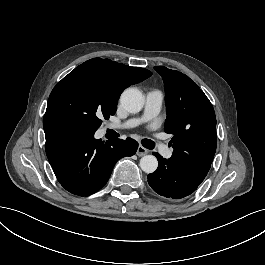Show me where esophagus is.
Instances as JSON below:
<instances>
[{
    "instance_id": "obj_1",
    "label": "esophagus",
    "mask_w": 265,
    "mask_h": 265,
    "mask_svg": "<svg viewBox=\"0 0 265 265\" xmlns=\"http://www.w3.org/2000/svg\"><path fill=\"white\" fill-rule=\"evenodd\" d=\"M149 151L148 149L144 148L142 145H139L137 148V156L141 157V156H145L146 154H148Z\"/></svg>"
}]
</instances>
